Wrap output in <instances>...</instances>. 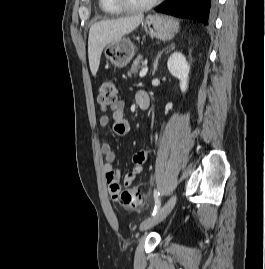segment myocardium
<instances>
[{"mask_svg":"<svg viewBox=\"0 0 265 269\" xmlns=\"http://www.w3.org/2000/svg\"><path fill=\"white\" fill-rule=\"evenodd\" d=\"M162 0H150L142 4H134L128 0H113L120 9L124 11H144L158 5Z\"/></svg>","mask_w":265,"mask_h":269,"instance_id":"obj_1","label":"myocardium"}]
</instances>
